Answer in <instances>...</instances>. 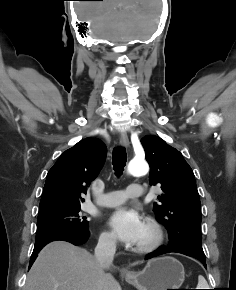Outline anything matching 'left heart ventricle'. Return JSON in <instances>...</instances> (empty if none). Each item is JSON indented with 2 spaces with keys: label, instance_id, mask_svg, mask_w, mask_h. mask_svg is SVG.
<instances>
[{
  "label": "left heart ventricle",
  "instance_id": "obj_1",
  "mask_svg": "<svg viewBox=\"0 0 236 290\" xmlns=\"http://www.w3.org/2000/svg\"><path fill=\"white\" fill-rule=\"evenodd\" d=\"M147 239V232H146V230L144 229L143 230V233H142V235H141V237H140V239H139V241L137 242V244L138 243H141V242H143V241H145Z\"/></svg>",
  "mask_w": 236,
  "mask_h": 290
}]
</instances>
